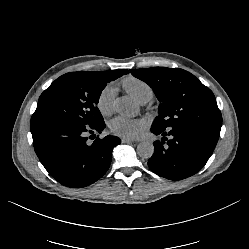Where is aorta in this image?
Masks as SVG:
<instances>
[{
    "label": "aorta",
    "mask_w": 249,
    "mask_h": 249,
    "mask_svg": "<svg viewBox=\"0 0 249 249\" xmlns=\"http://www.w3.org/2000/svg\"><path fill=\"white\" fill-rule=\"evenodd\" d=\"M113 107L117 113L122 116L132 117L137 114V107L127 97H119L114 101ZM154 153V146L152 143L143 141L137 146V154L141 158H151Z\"/></svg>",
    "instance_id": "762f6f07"
}]
</instances>
